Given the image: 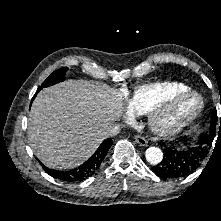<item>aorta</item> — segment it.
<instances>
[{
    "label": "aorta",
    "instance_id": "obj_1",
    "mask_svg": "<svg viewBox=\"0 0 221 221\" xmlns=\"http://www.w3.org/2000/svg\"><path fill=\"white\" fill-rule=\"evenodd\" d=\"M145 158L150 164L156 165L162 161L163 152L160 148L151 146L146 150Z\"/></svg>",
    "mask_w": 221,
    "mask_h": 221
}]
</instances>
